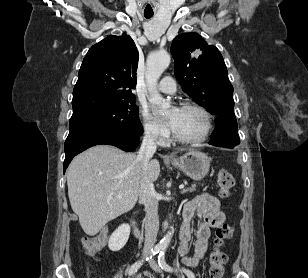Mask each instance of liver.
Masks as SVG:
<instances>
[{
	"label": "liver",
	"instance_id": "6515ba94",
	"mask_svg": "<svg viewBox=\"0 0 308 278\" xmlns=\"http://www.w3.org/2000/svg\"><path fill=\"white\" fill-rule=\"evenodd\" d=\"M146 174L152 182L158 179V160L149 161ZM144 175L136 154L114 146H93L76 156L66 176L70 204L83 231L94 236L107 222L130 211Z\"/></svg>",
	"mask_w": 308,
	"mask_h": 278
}]
</instances>
